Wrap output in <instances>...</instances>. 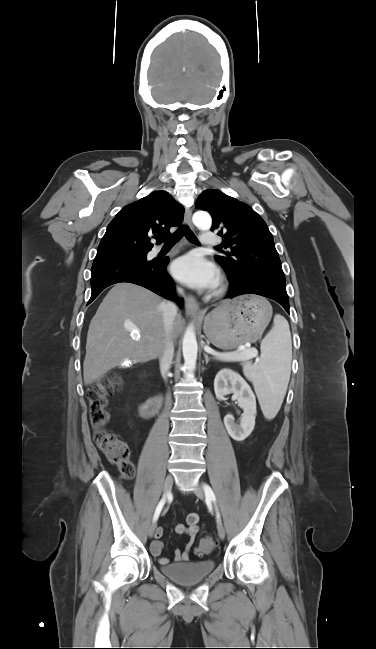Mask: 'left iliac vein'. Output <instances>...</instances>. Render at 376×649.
Segmentation results:
<instances>
[{"instance_id":"4c4485c4","label":"left iliac vein","mask_w":376,"mask_h":649,"mask_svg":"<svg viewBox=\"0 0 376 649\" xmlns=\"http://www.w3.org/2000/svg\"><path fill=\"white\" fill-rule=\"evenodd\" d=\"M194 493L198 498H200L202 500L205 498L204 490L202 488H200L199 486L195 487ZM218 535H219L220 539L225 538V529H224V526L221 523L218 525Z\"/></svg>"}]
</instances>
